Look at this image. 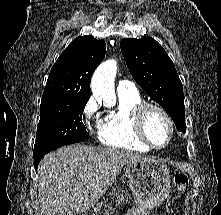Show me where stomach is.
Masks as SVG:
<instances>
[{
	"mask_svg": "<svg viewBox=\"0 0 221 215\" xmlns=\"http://www.w3.org/2000/svg\"><path fill=\"white\" fill-rule=\"evenodd\" d=\"M125 175L136 202V207L127 215H150V211L169 196L170 171L160 160L148 158L132 162L126 166Z\"/></svg>",
	"mask_w": 221,
	"mask_h": 215,
	"instance_id": "0dacf381",
	"label": "stomach"
}]
</instances>
